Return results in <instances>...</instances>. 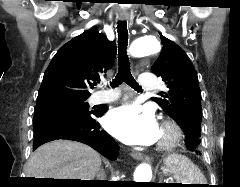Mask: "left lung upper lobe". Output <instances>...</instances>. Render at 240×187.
<instances>
[{
	"mask_svg": "<svg viewBox=\"0 0 240 187\" xmlns=\"http://www.w3.org/2000/svg\"><path fill=\"white\" fill-rule=\"evenodd\" d=\"M160 36L163 51L151 71L162 77L168 90L160 92L161 97H154L153 100L175 119L184 132L195 133L196 142L192 149L198 150L201 141L202 108L197 73L184 50L162 34Z\"/></svg>",
	"mask_w": 240,
	"mask_h": 187,
	"instance_id": "5c2ea615",
	"label": "left lung upper lobe"
}]
</instances>
